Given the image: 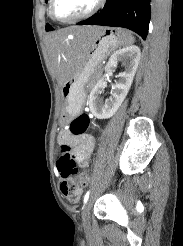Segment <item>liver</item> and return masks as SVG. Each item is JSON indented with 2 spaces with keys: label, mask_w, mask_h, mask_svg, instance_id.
Listing matches in <instances>:
<instances>
[{
  "label": "liver",
  "mask_w": 183,
  "mask_h": 246,
  "mask_svg": "<svg viewBox=\"0 0 183 246\" xmlns=\"http://www.w3.org/2000/svg\"><path fill=\"white\" fill-rule=\"evenodd\" d=\"M101 29L102 27H70L48 35L49 54L60 84H65L73 76L81 61L84 45L91 42ZM69 34L73 35V43L65 42Z\"/></svg>",
  "instance_id": "obj_1"
}]
</instances>
